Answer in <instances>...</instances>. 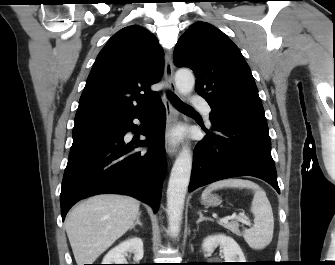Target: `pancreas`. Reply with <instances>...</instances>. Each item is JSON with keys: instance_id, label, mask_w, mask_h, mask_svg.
<instances>
[{"instance_id": "cf45deb5", "label": "pancreas", "mask_w": 335, "mask_h": 265, "mask_svg": "<svg viewBox=\"0 0 335 265\" xmlns=\"http://www.w3.org/2000/svg\"><path fill=\"white\" fill-rule=\"evenodd\" d=\"M222 226L238 236L241 235L239 231V224L237 221H231L228 223H224L222 224Z\"/></svg>"}]
</instances>
